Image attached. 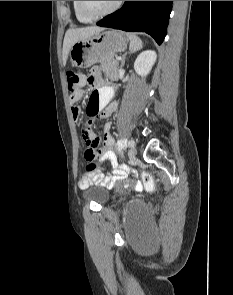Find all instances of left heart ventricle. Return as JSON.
<instances>
[{
    "instance_id": "left-heart-ventricle-1",
    "label": "left heart ventricle",
    "mask_w": 233,
    "mask_h": 295,
    "mask_svg": "<svg viewBox=\"0 0 233 295\" xmlns=\"http://www.w3.org/2000/svg\"><path fill=\"white\" fill-rule=\"evenodd\" d=\"M116 1H83L84 8L91 14H100L109 10Z\"/></svg>"
}]
</instances>
